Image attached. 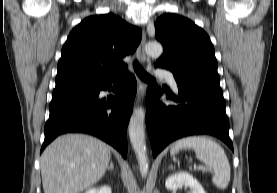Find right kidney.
I'll return each instance as SVG.
<instances>
[{
  "instance_id": "right-kidney-1",
  "label": "right kidney",
  "mask_w": 277,
  "mask_h": 193,
  "mask_svg": "<svg viewBox=\"0 0 277 193\" xmlns=\"http://www.w3.org/2000/svg\"><path fill=\"white\" fill-rule=\"evenodd\" d=\"M85 193H112V191L109 186H102L99 189H96V188L89 189Z\"/></svg>"
}]
</instances>
